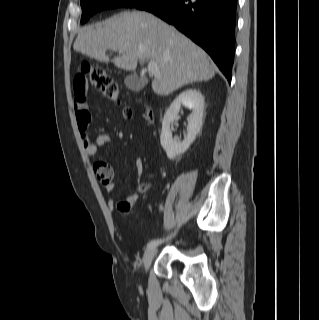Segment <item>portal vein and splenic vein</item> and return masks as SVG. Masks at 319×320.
Wrapping results in <instances>:
<instances>
[{"label": "portal vein and splenic vein", "instance_id": "obj_1", "mask_svg": "<svg viewBox=\"0 0 319 320\" xmlns=\"http://www.w3.org/2000/svg\"><path fill=\"white\" fill-rule=\"evenodd\" d=\"M148 71L152 73L156 77H160V71L158 64L156 62H149L148 63Z\"/></svg>", "mask_w": 319, "mask_h": 320}]
</instances>
